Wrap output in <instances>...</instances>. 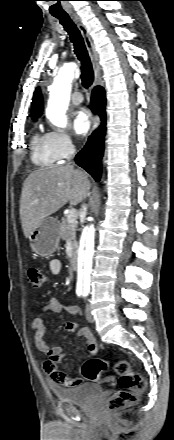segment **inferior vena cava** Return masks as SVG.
I'll list each match as a JSON object with an SVG mask.
<instances>
[{"label": "inferior vena cava", "instance_id": "602c4592", "mask_svg": "<svg viewBox=\"0 0 174 440\" xmlns=\"http://www.w3.org/2000/svg\"><path fill=\"white\" fill-rule=\"evenodd\" d=\"M81 213L84 215L87 213V206L85 204H83L81 207Z\"/></svg>", "mask_w": 174, "mask_h": 440}]
</instances>
